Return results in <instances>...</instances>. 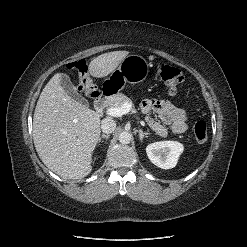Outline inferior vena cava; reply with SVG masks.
<instances>
[{"label": "inferior vena cava", "mask_w": 247, "mask_h": 247, "mask_svg": "<svg viewBox=\"0 0 247 247\" xmlns=\"http://www.w3.org/2000/svg\"><path fill=\"white\" fill-rule=\"evenodd\" d=\"M101 129L106 134L112 133L116 129V122L109 117L104 118L101 122Z\"/></svg>", "instance_id": "602c4592"}]
</instances>
